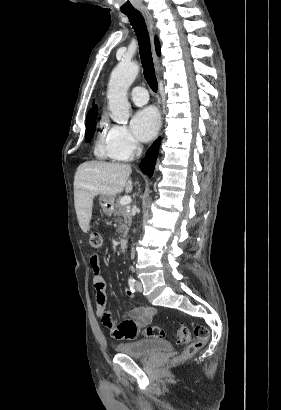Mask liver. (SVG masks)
<instances>
[{
	"instance_id": "6515ba94",
	"label": "liver",
	"mask_w": 281,
	"mask_h": 410,
	"mask_svg": "<svg viewBox=\"0 0 281 410\" xmlns=\"http://www.w3.org/2000/svg\"><path fill=\"white\" fill-rule=\"evenodd\" d=\"M132 172L128 164L86 161L78 168L74 176V203L79 226L88 232L92 218L93 200L97 195L114 197L125 190L133 189Z\"/></svg>"
}]
</instances>
